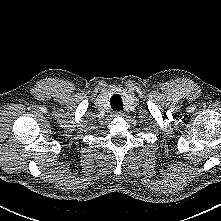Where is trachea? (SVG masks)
Returning a JSON list of instances; mask_svg holds the SVG:
<instances>
[{"mask_svg": "<svg viewBox=\"0 0 221 221\" xmlns=\"http://www.w3.org/2000/svg\"><path fill=\"white\" fill-rule=\"evenodd\" d=\"M110 105L113 110H123L122 98L115 94L110 98Z\"/></svg>", "mask_w": 221, "mask_h": 221, "instance_id": "obj_1", "label": "trachea"}]
</instances>
